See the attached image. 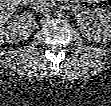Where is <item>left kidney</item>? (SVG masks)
I'll return each instance as SVG.
<instances>
[{
    "mask_svg": "<svg viewBox=\"0 0 111 106\" xmlns=\"http://www.w3.org/2000/svg\"><path fill=\"white\" fill-rule=\"evenodd\" d=\"M94 24L91 26L87 18H78L81 32L89 41L105 42L111 40V12L97 8L93 11Z\"/></svg>",
    "mask_w": 111,
    "mask_h": 106,
    "instance_id": "left-kidney-1",
    "label": "left kidney"
}]
</instances>
